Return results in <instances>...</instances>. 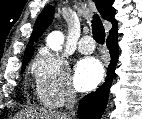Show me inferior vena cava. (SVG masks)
<instances>
[{"mask_svg": "<svg viewBox=\"0 0 142 119\" xmlns=\"http://www.w3.org/2000/svg\"><path fill=\"white\" fill-rule=\"evenodd\" d=\"M76 103V93L72 88H69L66 94V109L69 110L68 118H70V115H75L74 113V106Z\"/></svg>", "mask_w": 142, "mask_h": 119, "instance_id": "inferior-vena-cava-1", "label": "inferior vena cava"}]
</instances>
